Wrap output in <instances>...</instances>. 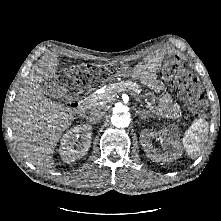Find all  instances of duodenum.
I'll use <instances>...</instances> for the list:
<instances>
[{
	"instance_id": "1",
	"label": "duodenum",
	"mask_w": 221,
	"mask_h": 221,
	"mask_svg": "<svg viewBox=\"0 0 221 221\" xmlns=\"http://www.w3.org/2000/svg\"><path fill=\"white\" fill-rule=\"evenodd\" d=\"M84 104L85 102L82 98L78 99L71 98L66 103L68 109L76 114H81L84 111Z\"/></svg>"
}]
</instances>
